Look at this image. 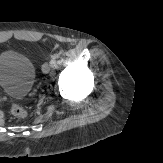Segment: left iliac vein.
I'll return each mask as SVG.
<instances>
[{"mask_svg":"<svg viewBox=\"0 0 163 163\" xmlns=\"http://www.w3.org/2000/svg\"><path fill=\"white\" fill-rule=\"evenodd\" d=\"M51 63L50 62H45L42 66V71L43 73L47 74L50 72V69H51Z\"/></svg>","mask_w":163,"mask_h":163,"instance_id":"4c4485c4","label":"left iliac vein"}]
</instances>
